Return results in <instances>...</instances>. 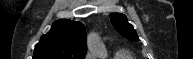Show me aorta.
Here are the masks:
<instances>
[{
	"instance_id": "aorta-1",
	"label": "aorta",
	"mask_w": 193,
	"mask_h": 59,
	"mask_svg": "<svg viewBox=\"0 0 193 59\" xmlns=\"http://www.w3.org/2000/svg\"><path fill=\"white\" fill-rule=\"evenodd\" d=\"M88 47L99 53L101 56H105L104 54V47L99 39V37L96 34H90L88 37Z\"/></svg>"
}]
</instances>
